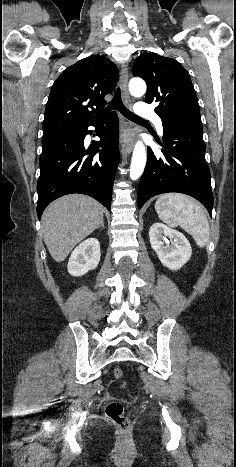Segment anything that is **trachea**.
Listing matches in <instances>:
<instances>
[{
  "mask_svg": "<svg viewBox=\"0 0 236 467\" xmlns=\"http://www.w3.org/2000/svg\"><path fill=\"white\" fill-rule=\"evenodd\" d=\"M110 107L112 109L119 110L129 120L147 122L146 120H144L141 117L137 116L136 114H134L133 112H131L129 109H127L124 106V104L122 103V100H121L120 88H118L116 90L115 96H114L113 100L110 103Z\"/></svg>",
  "mask_w": 236,
  "mask_h": 467,
  "instance_id": "1",
  "label": "trachea"
}]
</instances>
